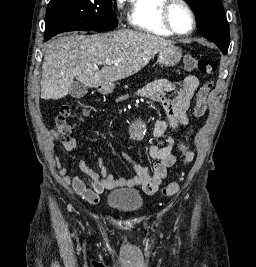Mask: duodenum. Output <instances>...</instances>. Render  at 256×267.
I'll list each match as a JSON object with an SVG mask.
<instances>
[{
    "label": "duodenum",
    "instance_id": "1",
    "mask_svg": "<svg viewBox=\"0 0 256 267\" xmlns=\"http://www.w3.org/2000/svg\"><path fill=\"white\" fill-rule=\"evenodd\" d=\"M117 83V78H108L107 81H101V85H97V94H114V89L112 86H115Z\"/></svg>",
    "mask_w": 256,
    "mask_h": 267
}]
</instances>
